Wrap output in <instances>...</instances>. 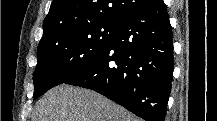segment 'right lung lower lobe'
Masks as SVG:
<instances>
[{"label":"right lung lower lobe","instance_id":"right-lung-lower-lobe-1","mask_svg":"<svg viewBox=\"0 0 217 121\" xmlns=\"http://www.w3.org/2000/svg\"><path fill=\"white\" fill-rule=\"evenodd\" d=\"M173 63L166 6L150 0L119 24L92 64L64 83L95 90L146 121H164Z\"/></svg>","mask_w":217,"mask_h":121}]
</instances>
